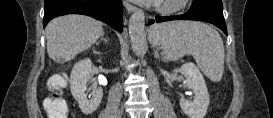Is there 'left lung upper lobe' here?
Returning a JSON list of instances; mask_svg holds the SVG:
<instances>
[{
    "label": "left lung upper lobe",
    "instance_id": "obj_1",
    "mask_svg": "<svg viewBox=\"0 0 273 118\" xmlns=\"http://www.w3.org/2000/svg\"><path fill=\"white\" fill-rule=\"evenodd\" d=\"M191 8L223 14L222 0H193Z\"/></svg>",
    "mask_w": 273,
    "mask_h": 118
}]
</instances>
